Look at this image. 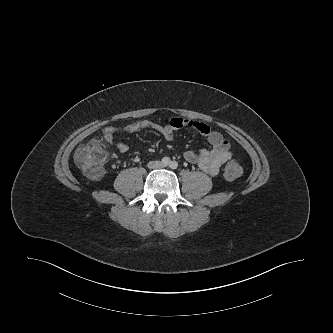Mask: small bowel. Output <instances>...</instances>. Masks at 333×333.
Segmentation results:
<instances>
[{"mask_svg":"<svg viewBox=\"0 0 333 333\" xmlns=\"http://www.w3.org/2000/svg\"><path fill=\"white\" fill-rule=\"evenodd\" d=\"M189 128L205 136L211 144V149L187 150L184 158L188 162L197 165L209 175L219 173L221 167L231 159L229 142L217 131L212 130L208 125L184 118H172L167 124L160 125L150 121H138L118 128L108 126L103 130V138L106 142H112L118 133H139L152 129L160 133L166 140H173L178 130ZM117 148L120 153L126 154L129 151L125 143L119 142Z\"/></svg>","mask_w":333,"mask_h":333,"instance_id":"small-bowel-1","label":"small bowel"}]
</instances>
